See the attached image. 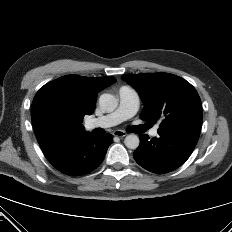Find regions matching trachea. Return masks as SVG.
<instances>
[{
  "instance_id": "trachea-1",
  "label": "trachea",
  "mask_w": 232,
  "mask_h": 232,
  "mask_svg": "<svg viewBox=\"0 0 232 232\" xmlns=\"http://www.w3.org/2000/svg\"><path fill=\"white\" fill-rule=\"evenodd\" d=\"M149 128H150L149 124H144V125L133 127L132 131L135 132V133H142V132L146 131Z\"/></svg>"
}]
</instances>
